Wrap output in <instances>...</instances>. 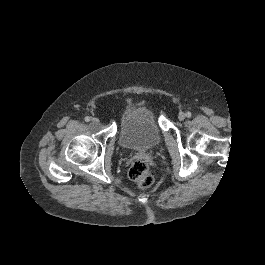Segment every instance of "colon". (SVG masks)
Returning a JSON list of instances; mask_svg holds the SVG:
<instances>
[{
  "label": "colon",
  "instance_id": "1",
  "mask_svg": "<svg viewBox=\"0 0 265 265\" xmlns=\"http://www.w3.org/2000/svg\"><path fill=\"white\" fill-rule=\"evenodd\" d=\"M129 177L139 188L148 189L154 183V177L149 166L142 160L135 161L129 169Z\"/></svg>",
  "mask_w": 265,
  "mask_h": 265
}]
</instances>
